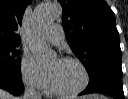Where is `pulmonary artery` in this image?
Masks as SVG:
<instances>
[{
  "label": "pulmonary artery",
  "mask_w": 128,
  "mask_h": 99,
  "mask_svg": "<svg viewBox=\"0 0 128 99\" xmlns=\"http://www.w3.org/2000/svg\"><path fill=\"white\" fill-rule=\"evenodd\" d=\"M45 37L51 44L60 45L64 40L62 27L58 24L50 26L45 32Z\"/></svg>",
  "instance_id": "pulmonary-artery-1"
}]
</instances>
